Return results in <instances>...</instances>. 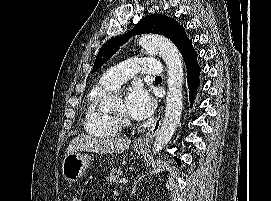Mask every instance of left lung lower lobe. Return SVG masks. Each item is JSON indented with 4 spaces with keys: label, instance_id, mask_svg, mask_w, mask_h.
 I'll return each mask as SVG.
<instances>
[{
    "label": "left lung lower lobe",
    "instance_id": "0a47b994",
    "mask_svg": "<svg viewBox=\"0 0 271 201\" xmlns=\"http://www.w3.org/2000/svg\"><path fill=\"white\" fill-rule=\"evenodd\" d=\"M179 51L181 52L186 64L187 81L190 88V101L193 102L197 87L199 85L200 67L197 63V55L191 41H188L184 46L179 49ZM175 160L178 162V165H181L179 159L175 158Z\"/></svg>",
    "mask_w": 271,
    "mask_h": 201
}]
</instances>
